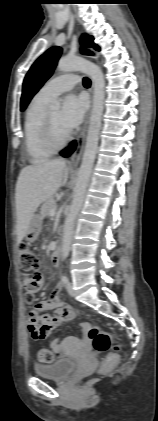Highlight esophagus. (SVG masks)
Listing matches in <instances>:
<instances>
[{
    "label": "esophagus",
    "mask_w": 158,
    "mask_h": 421,
    "mask_svg": "<svg viewBox=\"0 0 158 421\" xmlns=\"http://www.w3.org/2000/svg\"><path fill=\"white\" fill-rule=\"evenodd\" d=\"M90 92H91V96L93 93V84L90 88ZM90 114H91V109L88 111L83 126L79 132V134L77 135L76 138V149L74 151V153L72 154L69 164L70 166L76 167L79 164V161L81 159L82 153H83V149H84V144H85V138H86V133H87V129H88V125H89V119H90Z\"/></svg>",
    "instance_id": "1"
}]
</instances>
